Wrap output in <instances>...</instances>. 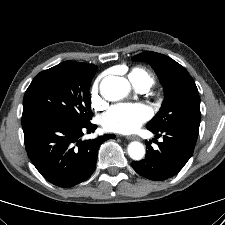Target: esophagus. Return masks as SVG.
<instances>
[{
  "label": "esophagus",
  "mask_w": 225,
  "mask_h": 225,
  "mask_svg": "<svg viewBox=\"0 0 225 225\" xmlns=\"http://www.w3.org/2000/svg\"><path fill=\"white\" fill-rule=\"evenodd\" d=\"M127 140H140L137 136H127Z\"/></svg>",
  "instance_id": "obj_1"
}]
</instances>
